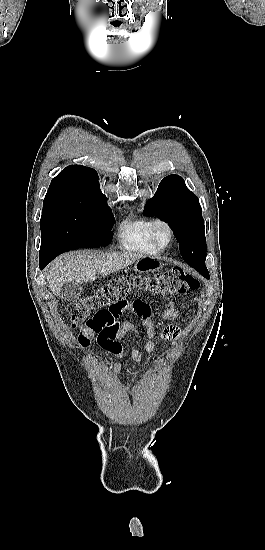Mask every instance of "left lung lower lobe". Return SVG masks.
Returning a JSON list of instances; mask_svg holds the SVG:
<instances>
[{"instance_id": "obj_1", "label": "left lung lower lobe", "mask_w": 265, "mask_h": 550, "mask_svg": "<svg viewBox=\"0 0 265 550\" xmlns=\"http://www.w3.org/2000/svg\"><path fill=\"white\" fill-rule=\"evenodd\" d=\"M191 267H193L194 269H196L202 276H204L205 278L209 279V272L205 266V263H196V264H192L190 265Z\"/></svg>"}]
</instances>
